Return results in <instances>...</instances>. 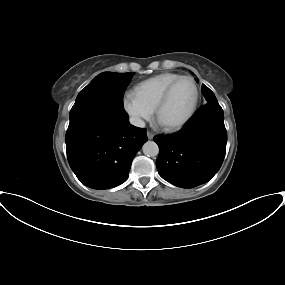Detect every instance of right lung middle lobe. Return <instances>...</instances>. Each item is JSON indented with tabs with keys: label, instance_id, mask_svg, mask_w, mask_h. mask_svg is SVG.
Listing matches in <instances>:
<instances>
[{
	"label": "right lung middle lobe",
	"instance_id": "1",
	"mask_svg": "<svg viewBox=\"0 0 285 285\" xmlns=\"http://www.w3.org/2000/svg\"><path fill=\"white\" fill-rule=\"evenodd\" d=\"M134 73L103 72L78 94L69 118L95 106L124 111L123 94Z\"/></svg>",
	"mask_w": 285,
	"mask_h": 285
}]
</instances>
